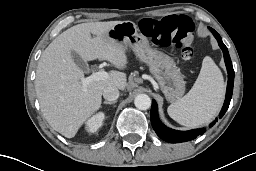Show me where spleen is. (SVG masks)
<instances>
[{
  "label": "spleen",
  "instance_id": "spleen-1",
  "mask_svg": "<svg viewBox=\"0 0 256 171\" xmlns=\"http://www.w3.org/2000/svg\"><path fill=\"white\" fill-rule=\"evenodd\" d=\"M224 93L222 73L212 58L206 56L191 90L183 98L169 105L167 112L183 126H198L209 122L219 112Z\"/></svg>",
  "mask_w": 256,
  "mask_h": 171
}]
</instances>
